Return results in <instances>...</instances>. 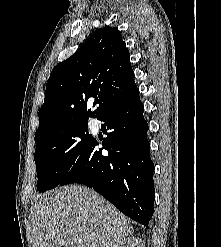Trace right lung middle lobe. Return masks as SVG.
<instances>
[{"label": "right lung middle lobe", "instance_id": "1", "mask_svg": "<svg viewBox=\"0 0 221 247\" xmlns=\"http://www.w3.org/2000/svg\"><path fill=\"white\" fill-rule=\"evenodd\" d=\"M88 121L63 124L35 138L38 186L45 192L59 185L92 139Z\"/></svg>", "mask_w": 221, "mask_h": 247}]
</instances>
